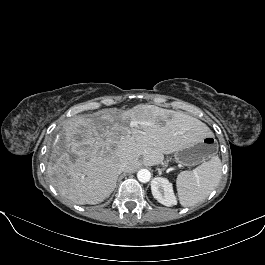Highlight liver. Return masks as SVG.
<instances>
[{
	"mask_svg": "<svg viewBox=\"0 0 265 265\" xmlns=\"http://www.w3.org/2000/svg\"><path fill=\"white\" fill-rule=\"evenodd\" d=\"M208 134L200 120L154 105L75 116L63 122L47 173L62 196L79 205H94L115 189L121 163L128 164V172L157 165L164 154Z\"/></svg>",
	"mask_w": 265,
	"mask_h": 265,
	"instance_id": "obj_1",
	"label": "liver"
}]
</instances>
